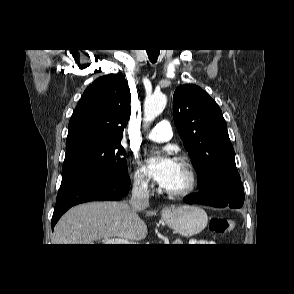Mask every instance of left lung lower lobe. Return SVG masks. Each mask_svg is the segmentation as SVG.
Instances as JSON below:
<instances>
[{
	"instance_id": "obj_1",
	"label": "left lung lower lobe",
	"mask_w": 294,
	"mask_h": 294,
	"mask_svg": "<svg viewBox=\"0 0 294 294\" xmlns=\"http://www.w3.org/2000/svg\"><path fill=\"white\" fill-rule=\"evenodd\" d=\"M184 201L188 204L199 203L218 208H240L244 203L243 184L241 182L225 183L210 193L204 195L197 193L184 198Z\"/></svg>"
}]
</instances>
